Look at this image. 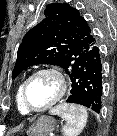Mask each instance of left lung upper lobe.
Segmentation results:
<instances>
[{
  "mask_svg": "<svg viewBox=\"0 0 117 136\" xmlns=\"http://www.w3.org/2000/svg\"><path fill=\"white\" fill-rule=\"evenodd\" d=\"M44 14L46 18L24 36L12 78L37 64L58 65L69 75L76 59L96 40L88 22L68 3L49 4Z\"/></svg>",
  "mask_w": 117,
  "mask_h": 136,
  "instance_id": "left-lung-upper-lobe-1",
  "label": "left lung upper lobe"
}]
</instances>
